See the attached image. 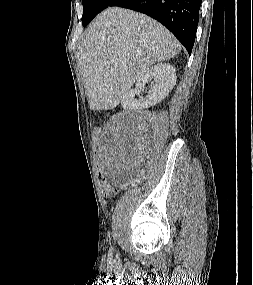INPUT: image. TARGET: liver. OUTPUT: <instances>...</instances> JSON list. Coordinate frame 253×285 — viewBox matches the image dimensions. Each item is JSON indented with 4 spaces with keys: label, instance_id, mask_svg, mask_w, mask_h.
<instances>
[{
    "label": "liver",
    "instance_id": "liver-1",
    "mask_svg": "<svg viewBox=\"0 0 253 285\" xmlns=\"http://www.w3.org/2000/svg\"><path fill=\"white\" fill-rule=\"evenodd\" d=\"M180 49L175 37L154 19L107 8L89 25L77 51L90 109H113L149 66L175 57Z\"/></svg>",
    "mask_w": 253,
    "mask_h": 285
}]
</instances>
